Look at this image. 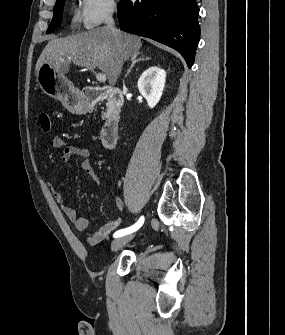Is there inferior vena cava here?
<instances>
[{
  "instance_id": "inferior-vena-cava-1",
  "label": "inferior vena cava",
  "mask_w": 285,
  "mask_h": 335,
  "mask_svg": "<svg viewBox=\"0 0 285 335\" xmlns=\"http://www.w3.org/2000/svg\"><path fill=\"white\" fill-rule=\"evenodd\" d=\"M115 8H116V4L114 0H108V4L106 6V10H107L106 18L104 22L106 24V28H108V30H111V32H119V30H116L115 22L113 20V14L115 12Z\"/></svg>"
}]
</instances>
